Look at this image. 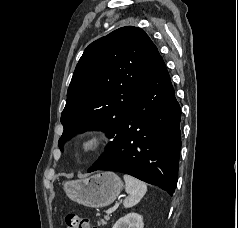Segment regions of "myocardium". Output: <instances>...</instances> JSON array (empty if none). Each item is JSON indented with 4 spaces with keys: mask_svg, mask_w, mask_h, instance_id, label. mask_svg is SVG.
<instances>
[{
    "mask_svg": "<svg viewBox=\"0 0 238 228\" xmlns=\"http://www.w3.org/2000/svg\"><path fill=\"white\" fill-rule=\"evenodd\" d=\"M108 135L100 128L84 134L77 145V152L83 157H89L99 152L107 143Z\"/></svg>",
    "mask_w": 238,
    "mask_h": 228,
    "instance_id": "obj_1",
    "label": "myocardium"
}]
</instances>
